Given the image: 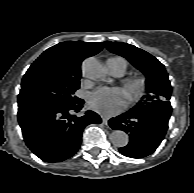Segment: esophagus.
I'll return each instance as SVG.
<instances>
[{
	"instance_id": "esophagus-1",
	"label": "esophagus",
	"mask_w": 194,
	"mask_h": 193,
	"mask_svg": "<svg viewBox=\"0 0 194 193\" xmlns=\"http://www.w3.org/2000/svg\"><path fill=\"white\" fill-rule=\"evenodd\" d=\"M102 122H103V124L108 125V117L103 116L102 117Z\"/></svg>"
}]
</instances>
